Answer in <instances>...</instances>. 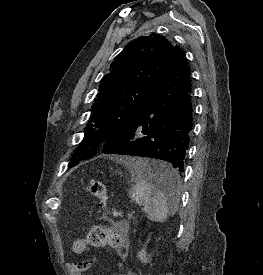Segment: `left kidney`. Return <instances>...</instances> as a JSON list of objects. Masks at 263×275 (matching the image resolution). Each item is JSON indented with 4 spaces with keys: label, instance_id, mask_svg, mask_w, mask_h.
Listing matches in <instances>:
<instances>
[{
    "label": "left kidney",
    "instance_id": "1",
    "mask_svg": "<svg viewBox=\"0 0 263 275\" xmlns=\"http://www.w3.org/2000/svg\"><path fill=\"white\" fill-rule=\"evenodd\" d=\"M137 256L140 259V261L143 262V263H147L149 261V259L147 257V253H146V246L143 247V249H141L139 251Z\"/></svg>",
    "mask_w": 263,
    "mask_h": 275
}]
</instances>
